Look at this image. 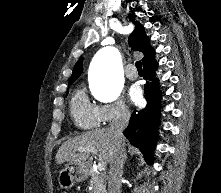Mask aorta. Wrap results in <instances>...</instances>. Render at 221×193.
I'll return each mask as SVG.
<instances>
[{"label": "aorta", "instance_id": "1", "mask_svg": "<svg viewBox=\"0 0 221 193\" xmlns=\"http://www.w3.org/2000/svg\"><path fill=\"white\" fill-rule=\"evenodd\" d=\"M91 69L94 80V96L103 102L117 100L123 87L119 51L114 47L102 48L94 56Z\"/></svg>", "mask_w": 221, "mask_h": 193}]
</instances>
